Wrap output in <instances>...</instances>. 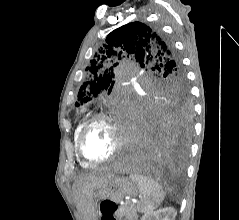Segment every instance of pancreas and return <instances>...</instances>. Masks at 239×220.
Returning a JSON list of instances; mask_svg holds the SVG:
<instances>
[{
  "mask_svg": "<svg viewBox=\"0 0 239 220\" xmlns=\"http://www.w3.org/2000/svg\"><path fill=\"white\" fill-rule=\"evenodd\" d=\"M119 218H124V220H137V208L133 204L126 203L125 205L119 207L116 212Z\"/></svg>",
  "mask_w": 239,
  "mask_h": 220,
  "instance_id": "obj_1",
  "label": "pancreas"
}]
</instances>
